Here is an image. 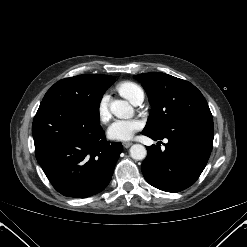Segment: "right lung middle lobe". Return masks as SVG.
Wrapping results in <instances>:
<instances>
[{"label":"right lung middle lobe","mask_w":247,"mask_h":247,"mask_svg":"<svg viewBox=\"0 0 247 247\" xmlns=\"http://www.w3.org/2000/svg\"><path fill=\"white\" fill-rule=\"evenodd\" d=\"M110 84L101 82L96 74L78 75L55 83L42 102L61 101L99 114V105Z\"/></svg>","instance_id":"1"}]
</instances>
